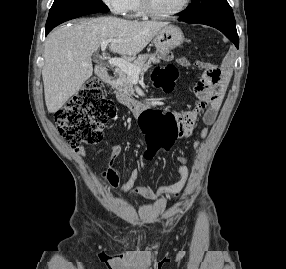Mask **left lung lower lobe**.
Wrapping results in <instances>:
<instances>
[{
    "label": "left lung lower lobe",
    "instance_id": "1",
    "mask_svg": "<svg viewBox=\"0 0 286 269\" xmlns=\"http://www.w3.org/2000/svg\"><path fill=\"white\" fill-rule=\"evenodd\" d=\"M179 21H184L182 19H178ZM187 22V21H184ZM187 23H201L205 25H209L211 27L217 28L220 30L228 39H230L235 46L239 47V37L236 30V24L221 22V21H194V22H187Z\"/></svg>",
    "mask_w": 286,
    "mask_h": 269
}]
</instances>
